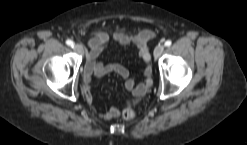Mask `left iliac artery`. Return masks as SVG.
I'll list each match as a JSON object with an SVG mask.
<instances>
[{
	"mask_svg": "<svg viewBox=\"0 0 247 145\" xmlns=\"http://www.w3.org/2000/svg\"><path fill=\"white\" fill-rule=\"evenodd\" d=\"M171 44H172L171 40H167L164 45L166 47H169Z\"/></svg>",
	"mask_w": 247,
	"mask_h": 145,
	"instance_id": "obj_1",
	"label": "left iliac artery"
}]
</instances>
